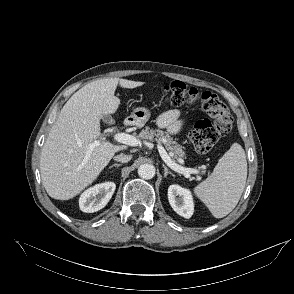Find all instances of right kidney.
<instances>
[{"label":"right kidney","mask_w":294,"mask_h":294,"mask_svg":"<svg viewBox=\"0 0 294 294\" xmlns=\"http://www.w3.org/2000/svg\"><path fill=\"white\" fill-rule=\"evenodd\" d=\"M116 185L113 182L97 184L85 192L79 198V207L86 213L97 212L104 208L111 199Z\"/></svg>","instance_id":"ca27d5eb"}]
</instances>
